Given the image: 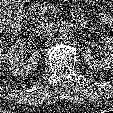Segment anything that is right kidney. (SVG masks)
I'll return each instance as SVG.
<instances>
[{
  "label": "right kidney",
  "instance_id": "1",
  "mask_svg": "<svg viewBox=\"0 0 113 113\" xmlns=\"http://www.w3.org/2000/svg\"><path fill=\"white\" fill-rule=\"evenodd\" d=\"M31 55L26 62H23L24 55V43L21 39H18L10 47L8 53V65L9 71L14 76H20L32 73V71L37 67L39 61V51L31 50Z\"/></svg>",
  "mask_w": 113,
  "mask_h": 113
}]
</instances>
